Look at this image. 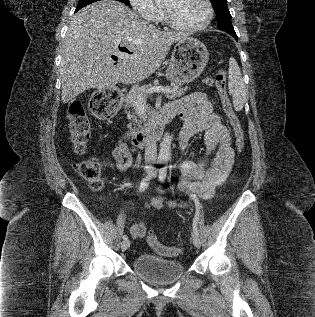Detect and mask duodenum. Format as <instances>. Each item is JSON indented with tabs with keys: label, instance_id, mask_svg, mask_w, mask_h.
I'll list each match as a JSON object with an SVG mask.
<instances>
[{
	"label": "duodenum",
	"instance_id": "1",
	"mask_svg": "<svg viewBox=\"0 0 315 317\" xmlns=\"http://www.w3.org/2000/svg\"><path fill=\"white\" fill-rule=\"evenodd\" d=\"M176 112L168 108H163L156 117L144 128L135 131L130 136V143L134 148H143L149 142L159 138L164 127L169 120L175 116Z\"/></svg>",
	"mask_w": 315,
	"mask_h": 317
}]
</instances>
